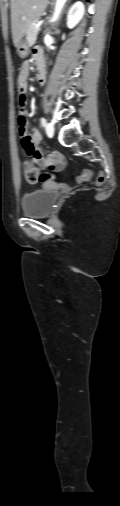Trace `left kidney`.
<instances>
[{
    "instance_id": "1",
    "label": "left kidney",
    "mask_w": 120,
    "mask_h": 506,
    "mask_svg": "<svg viewBox=\"0 0 120 506\" xmlns=\"http://www.w3.org/2000/svg\"><path fill=\"white\" fill-rule=\"evenodd\" d=\"M84 4L82 2H76L69 10L67 16V26L69 28L75 27L84 15Z\"/></svg>"
}]
</instances>
